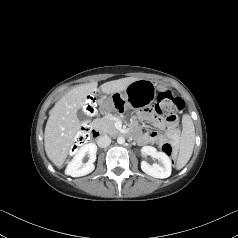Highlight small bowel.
I'll use <instances>...</instances> for the list:
<instances>
[{
    "label": "small bowel",
    "instance_id": "c3829d8e",
    "mask_svg": "<svg viewBox=\"0 0 238 238\" xmlns=\"http://www.w3.org/2000/svg\"><path fill=\"white\" fill-rule=\"evenodd\" d=\"M140 118L143 120H150L154 127L160 129L166 128L165 135H161L147 129H142L138 133V140L140 143H154L158 146H162L164 143L169 142L173 145H178L180 141V134L176 124H167L166 119L163 116H159L158 114L150 115L148 112H141Z\"/></svg>",
    "mask_w": 238,
    "mask_h": 238
}]
</instances>
